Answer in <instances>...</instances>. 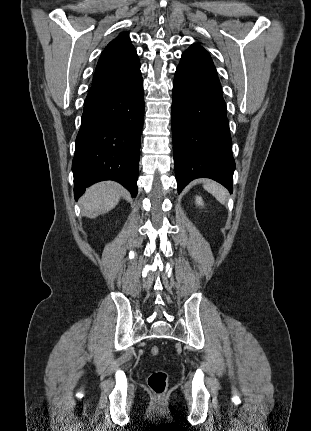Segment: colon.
<instances>
[{
    "label": "colon",
    "instance_id": "1",
    "mask_svg": "<svg viewBox=\"0 0 311 431\" xmlns=\"http://www.w3.org/2000/svg\"><path fill=\"white\" fill-rule=\"evenodd\" d=\"M150 353L153 356H157L159 354V348L157 346L151 347ZM167 384L168 374L163 370L154 371L148 378V385L152 392L157 396H160L165 392Z\"/></svg>",
    "mask_w": 311,
    "mask_h": 431
}]
</instances>
